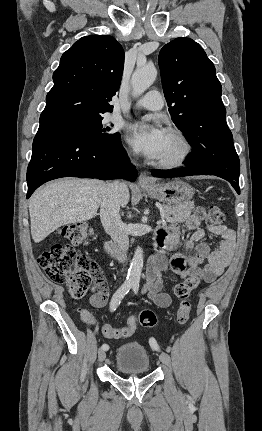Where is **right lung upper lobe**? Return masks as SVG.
I'll list each match as a JSON object with an SVG mask.
<instances>
[{
	"instance_id": "cb5924a9",
	"label": "right lung upper lobe",
	"mask_w": 262,
	"mask_h": 431,
	"mask_svg": "<svg viewBox=\"0 0 262 431\" xmlns=\"http://www.w3.org/2000/svg\"><path fill=\"white\" fill-rule=\"evenodd\" d=\"M124 67V50L109 35L79 39L61 57L40 127L112 112Z\"/></svg>"
}]
</instances>
